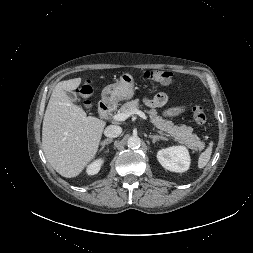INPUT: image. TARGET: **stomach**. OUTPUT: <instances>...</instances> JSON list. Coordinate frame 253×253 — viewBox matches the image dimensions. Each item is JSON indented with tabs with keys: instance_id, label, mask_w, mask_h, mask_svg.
I'll return each mask as SVG.
<instances>
[{
	"instance_id": "0dacf381",
	"label": "stomach",
	"mask_w": 253,
	"mask_h": 253,
	"mask_svg": "<svg viewBox=\"0 0 253 253\" xmlns=\"http://www.w3.org/2000/svg\"><path fill=\"white\" fill-rule=\"evenodd\" d=\"M134 95V79L132 75L124 73L120 81L106 86L102 91V99L106 102L130 100Z\"/></svg>"
}]
</instances>
